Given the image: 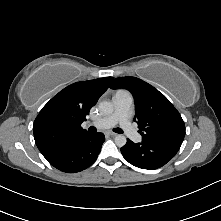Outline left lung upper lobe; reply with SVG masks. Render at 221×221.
I'll use <instances>...</instances> for the list:
<instances>
[{"label":"left lung upper lobe","mask_w":221,"mask_h":221,"mask_svg":"<svg viewBox=\"0 0 221 221\" xmlns=\"http://www.w3.org/2000/svg\"><path fill=\"white\" fill-rule=\"evenodd\" d=\"M111 88H124L132 93L142 141L181 146L185 136L184 121L156 88L136 77L116 78Z\"/></svg>","instance_id":"5c2ea615"}]
</instances>
